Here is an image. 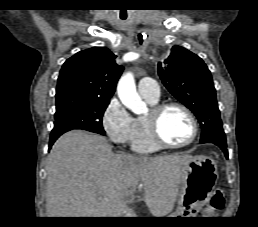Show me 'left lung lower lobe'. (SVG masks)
<instances>
[{
    "label": "left lung lower lobe",
    "mask_w": 258,
    "mask_h": 227,
    "mask_svg": "<svg viewBox=\"0 0 258 227\" xmlns=\"http://www.w3.org/2000/svg\"><path fill=\"white\" fill-rule=\"evenodd\" d=\"M214 144H216L217 146H219L223 150L226 158L228 159V151H227L226 143H214Z\"/></svg>",
    "instance_id": "1"
}]
</instances>
